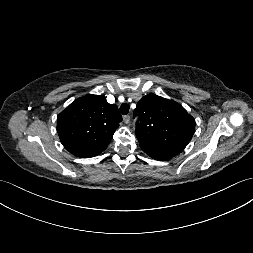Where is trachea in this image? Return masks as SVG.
I'll return each instance as SVG.
<instances>
[{
  "label": "trachea",
  "instance_id": "trachea-1",
  "mask_svg": "<svg viewBox=\"0 0 253 253\" xmlns=\"http://www.w3.org/2000/svg\"><path fill=\"white\" fill-rule=\"evenodd\" d=\"M129 109H130V107H129V105H128L127 103H123V104L120 106V112H121V114H123V115L128 114Z\"/></svg>",
  "mask_w": 253,
  "mask_h": 253
}]
</instances>
